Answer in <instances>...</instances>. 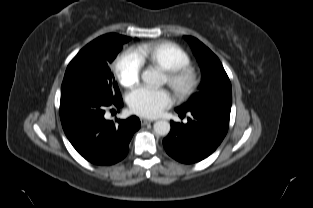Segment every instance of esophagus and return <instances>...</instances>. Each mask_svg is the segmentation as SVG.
<instances>
[{
    "mask_svg": "<svg viewBox=\"0 0 313 208\" xmlns=\"http://www.w3.org/2000/svg\"><path fill=\"white\" fill-rule=\"evenodd\" d=\"M153 122V120H149V119H144V118H141V124L142 126H145L149 123Z\"/></svg>",
    "mask_w": 313,
    "mask_h": 208,
    "instance_id": "1",
    "label": "esophagus"
}]
</instances>
